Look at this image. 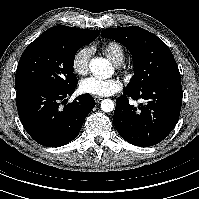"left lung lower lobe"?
Segmentation results:
<instances>
[{"label": "left lung lower lobe", "instance_id": "1", "mask_svg": "<svg viewBox=\"0 0 199 199\" xmlns=\"http://www.w3.org/2000/svg\"><path fill=\"white\" fill-rule=\"evenodd\" d=\"M116 100L113 122L121 137L140 147L156 145L175 127L181 110V78L153 83L140 91L126 90ZM146 103L134 107L128 98Z\"/></svg>", "mask_w": 199, "mask_h": 199}]
</instances>
